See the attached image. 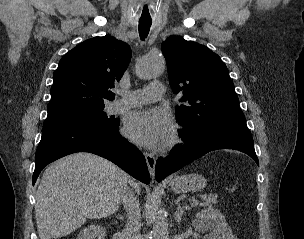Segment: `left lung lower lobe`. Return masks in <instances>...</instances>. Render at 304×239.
<instances>
[{"instance_id": "1", "label": "left lung lower lobe", "mask_w": 304, "mask_h": 239, "mask_svg": "<svg viewBox=\"0 0 304 239\" xmlns=\"http://www.w3.org/2000/svg\"><path fill=\"white\" fill-rule=\"evenodd\" d=\"M183 138L185 143L182 147L177 148L166 158L157 160L155 178L158 182L193 160L218 149H235L244 152L259 165L253 138L248 129L226 128L196 139Z\"/></svg>"}]
</instances>
